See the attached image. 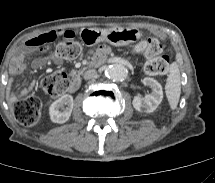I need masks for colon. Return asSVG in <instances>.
<instances>
[{"mask_svg": "<svg viewBox=\"0 0 215 183\" xmlns=\"http://www.w3.org/2000/svg\"><path fill=\"white\" fill-rule=\"evenodd\" d=\"M43 45L36 44L40 49ZM135 53L144 54L149 60L145 64V71L150 75H161L167 72L170 57L162 54V45L155 37L140 40L133 47ZM81 53V46L75 40V34L68 31L56 46V54L62 59H74ZM69 85L68 78L63 73H55L45 77L41 82L42 90L52 97L64 93ZM16 120L27 127L36 125L42 116V103L36 96H25L20 98L13 108Z\"/></svg>", "mask_w": 215, "mask_h": 183, "instance_id": "colon-1", "label": "colon"}]
</instances>
